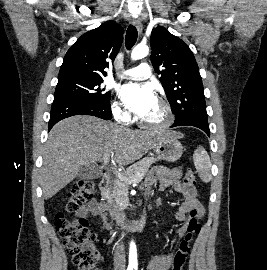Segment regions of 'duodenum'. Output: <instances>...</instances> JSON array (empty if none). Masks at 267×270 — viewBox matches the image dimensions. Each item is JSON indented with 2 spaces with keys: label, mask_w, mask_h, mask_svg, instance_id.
<instances>
[{
  "label": "duodenum",
  "mask_w": 267,
  "mask_h": 270,
  "mask_svg": "<svg viewBox=\"0 0 267 270\" xmlns=\"http://www.w3.org/2000/svg\"><path fill=\"white\" fill-rule=\"evenodd\" d=\"M110 181H111L110 173L108 172L104 173L100 180L99 188H100L101 196L103 200H105V206L110 211L112 217L117 221L118 225H120L121 227L135 229V230H143L147 224L146 209L144 210V213L140 218L135 219V220H127L124 217L121 209L107 200L106 190L110 184Z\"/></svg>",
  "instance_id": "obj_1"
}]
</instances>
